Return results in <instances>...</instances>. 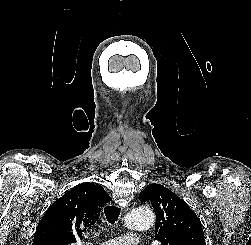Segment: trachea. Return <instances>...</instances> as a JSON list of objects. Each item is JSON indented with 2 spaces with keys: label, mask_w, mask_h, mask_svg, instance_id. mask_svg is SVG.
I'll return each instance as SVG.
<instances>
[{
  "label": "trachea",
  "mask_w": 251,
  "mask_h": 245,
  "mask_svg": "<svg viewBox=\"0 0 251 245\" xmlns=\"http://www.w3.org/2000/svg\"><path fill=\"white\" fill-rule=\"evenodd\" d=\"M120 210V208L114 205H108L105 207L104 213L109 223L114 224L118 220Z\"/></svg>",
  "instance_id": "1"
}]
</instances>
